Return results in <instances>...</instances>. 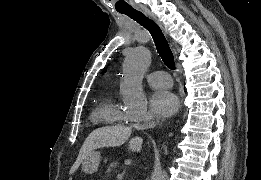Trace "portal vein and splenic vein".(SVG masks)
Here are the masks:
<instances>
[{
  "label": "portal vein and splenic vein",
  "instance_id": "portal-vein-and-splenic-vein-1",
  "mask_svg": "<svg viewBox=\"0 0 261 180\" xmlns=\"http://www.w3.org/2000/svg\"><path fill=\"white\" fill-rule=\"evenodd\" d=\"M116 176H117L118 180H122V177L124 176V173L123 172H117Z\"/></svg>",
  "mask_w": 261,
  "mask_h": 180
}]
</instances>
